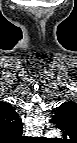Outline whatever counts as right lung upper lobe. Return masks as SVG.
Segmentation results:
<instances>
[{
	"label": "right lung upper lobe",
	"mask_w": 77,
	"mask_h": 143,
	"mask_svg": "<svg viewBox=\"0 0 77 143\" xmlns=\"http://www.w3.org/2000/svg\"><path fill=\"white\" fill-rule=\"evenodd\" d=\"M22 122L13 107L6 102H0V132L8 136L22 134Z\"/></svg>",
	"instance_id": "1"
}]
</instances>
